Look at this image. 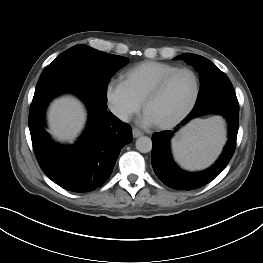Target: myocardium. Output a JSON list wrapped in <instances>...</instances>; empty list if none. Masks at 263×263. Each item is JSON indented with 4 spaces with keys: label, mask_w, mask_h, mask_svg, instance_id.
Masks as SVG:
<instances>
[{
    "label": "myocardium",
    "mask_w": 263,
    "mask_h": 263,
    "mask_svg": "<svg viewBox=\"0 0 263 263\" xmlns=\"http://www.w3.org/2000/svg\"><path fill=\"white\" fill-rule=\"evenodd\" d=\"M183 72L190 73L194 78L195 90H194L193 97H192L191 101L189 102V104L187 105V107L178 116H176L175 118H173L170 121L155 124L156 127L159 129H170V128L176 126L183 119H185L190 114V112L194 109V107L198 101L200 91H201V83H200V78H199L198 74L193 69L188 68V67L178 68V69L168 73L167 75H165L152 88V90L146 95V97L144 98V100L142 102L143 109H144V111H146L147 106L163 92V90L165 89L167 84L170 82V80L173 79L176 75L183 73Z\"/></svg>",
    "instance_id": "obj_1"
}]
</instances>
